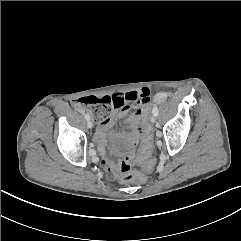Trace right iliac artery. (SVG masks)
<instances>
[{
  "instance_id": "obj_1",
  "label": "right iliac artery",
  "mask_w": 241,
  "mask_h": 241,
  "mask_svg": "<svg viewBox=\"0 0 241 241\" xmlns=\"http://www.w3.org/2000/svg\"><path fill=\"white\" fill-rule=\"evenodd\" d=\"M84 117H85V119H86V120H89V119H90V117H89V115H88V114H85V116H84Z\"/></svg>"
}]
</instances>
